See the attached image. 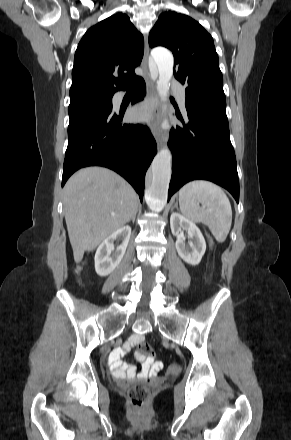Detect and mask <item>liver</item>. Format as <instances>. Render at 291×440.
<instances>
[{
	"mask_svg": "<svg viewBox=\"0 0 291 440\" xmlns=\"http://www.w3.org/2000/svg\"><path fill=\"white\" fill-rule=\"evenodd\" d=\"M63 205L74 261L94 250L137 212L138 195L115 172L86 167L74 173L63 190Z\"/></svg>",
	"mask_w": 291,
	"mask_h": 440,
	"instance_id": "liver-1",
	"label": "liver"
}]
</instances>
